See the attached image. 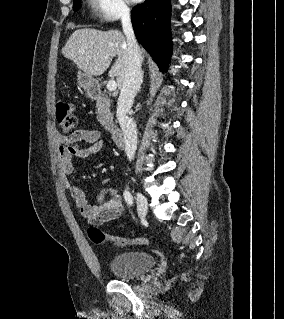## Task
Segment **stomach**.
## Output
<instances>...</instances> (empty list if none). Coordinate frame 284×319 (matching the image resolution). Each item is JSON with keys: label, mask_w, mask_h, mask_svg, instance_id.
<instances>
[{"label": "stomach", "mask_w": 284, "mask_h": 319, "mask_svg": "<svg viewBox=\"0 0 284 319\" xmlns=\"http://www.w3.org/2000/svg\"><path fill=\"white\" fill-rule=\"evenodd\" d=\"M79 86L84 89L88 94L97 86V80L92 76L79 72L77 76Z\"/></svg>", "instance_id": "obj_1"}]
</instances>
